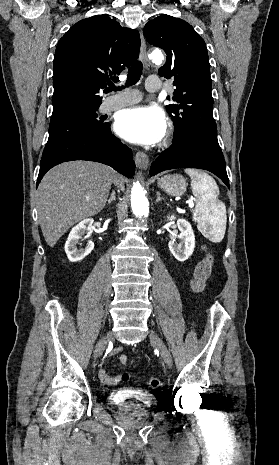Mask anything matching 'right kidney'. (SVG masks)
Segmentation results:
<instances>
[{
    "instance_id": "obj_1",
    "label": "right kidney",
    "mask_w": 279,
    "mask_h": 465,
    "mask_svg": "<svg viewBox=\"0 0 279 465\" xmlns=\"http://www.w3.org/2000/svg\"><path fill=\"white\" fill-rule=\"evenodd\" d=\"M93 222L92 218L84 219L70 231L64 249L71 262L82 260L94 249V243L92 241H89L84 249L77 250L76 248L79 239H82L84 235L89 237L93 232Z\"/></svg>"
}]
</instances>
